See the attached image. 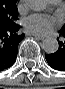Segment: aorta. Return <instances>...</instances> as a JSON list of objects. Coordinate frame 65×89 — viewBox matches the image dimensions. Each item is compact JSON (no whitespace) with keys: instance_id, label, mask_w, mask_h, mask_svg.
<instances>
[{"instance_id":"762f6f07","label":"aorta","mask_w":65,"mask_h":89,"mask_svg":"<svg viewBox=\"0 0 65 89\" xmlns=\"http://www.w3.org/2000/svg\"><path fill=\"white\" fill-rule=\"evenodd\" d=\"M29 7L31 10L35 12H42L45 11L48 7L47 0H30ZM59 48V44L56 38L48 37L43 40L42 42V49L47 54L55 53Z\"/></svg>"}]
</instances>
